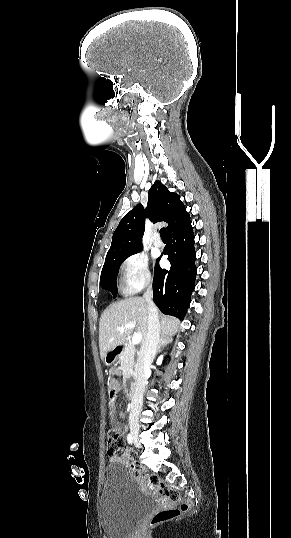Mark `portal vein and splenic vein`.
I'll list each match as a JSON object with an SVG mask.
<instances>
[{
    "label": "portal vein and splenic vein",
    "mask_w": 291,
    "mask_h": 538,
    "mask_svg": "<svg viewBox=\"0 0 291 538\" xmlns=\"http://www.w3.org/2000/svg\"><path fill=\"white\" fill-rule=\"evenodd\" d=\"M135 326H136L135 323L130 322V323L125 324L122 327H119L118 329L120 331H124L127 328H135ZM141 340H142V334L141 333H135L133 338H132V344L133 345L139 344L141 342Z\"/></svg>",
    "instance_id": "1"
}]
</instances>
